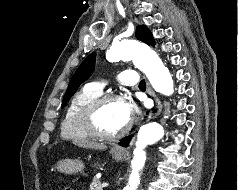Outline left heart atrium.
<instances>
[{
	"instance_id": "39dd6f15",
	"label": "left heart atrium",
	"mask_w": 238,
	"mask_h": 190,
	"mask_svg": "<svg viewBox=\"0 0 238 190\" xmlns=\"http://www.w3.org/2000/svg\"><path fill=\"white\" fill-rule=\"evenodd\" d=\"M122 106H123V111L126 118L130 120L136 111L135 104L133 103V101L126 99V100H122Z\"/></svg>"
}]
</instances>
